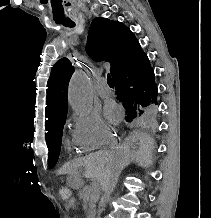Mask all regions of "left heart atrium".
Segmentation results:
<instances>
[{"label":"left heart atrium","mask_w":211,"mask_h":218,"mask_svg":"<svg viewBox=\"0 0 211 218\" xmlns=\"http://www.w3.org/2000/svg\"><path fill=\"white\" fill-rule=\"evenodd\" d=\"M105 115L109 121L115 123L119 119V112L113 102H108L105 106Z\"/></svg>","instance_id":"left-heart-atrium-1"}]
</instances>
